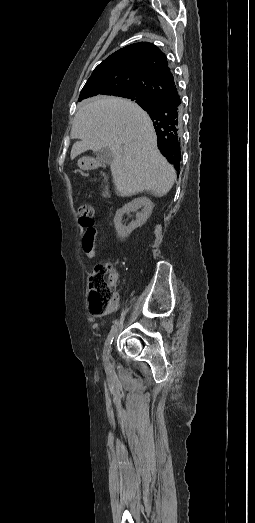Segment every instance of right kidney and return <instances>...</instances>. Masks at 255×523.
I'll use <instances>...</instances> for the list:
<instances>
[{
    "instance_id": "right-kidney-1",
    "label": "right kidney",
    "mask_w": 255,
    "mask_h": 523,
    "mask_svg": "<svg viewBox=\"0 0 255 523\" xmlns=\"http://www.w3.org/2000/svg\"><path fill=\"white\" fill-rule=\"evenodd\" d=\"M141 206H144V210L136 214L135 222H131L129 226H123L122 216H124V214H128V212H137L138 208H141ZM153 208V202H151L149 198H146V196H141V198H136V200H132L130 204H125L123 208L117 210L116 216L114 218V224L119 238L124 240V238H127V236H129V234H131L135 228H139V226L145 224L146 220H148L149 216H151Z\"/></svg>"
}]
</instances>
